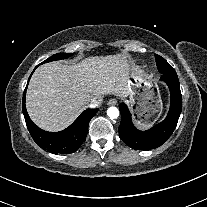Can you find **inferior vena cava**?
Wrapping results in <instances>:
<instances>
[{"label":"inferior vena cava","instance_id":"602c4592","mask_svg":"<svg viewBox=\"0 0 207 207\" xmlns=\"http://www.w3.org/2000/svg\"><path fill=\"white\" fill-rule=\"evenodd\" d=\"M102 103V97H96V98H92L89 103L87 104V107L89 108H96L98 106H100Z\"/></svg>","mask_w":207,"mask_h":207}]
</instances>
